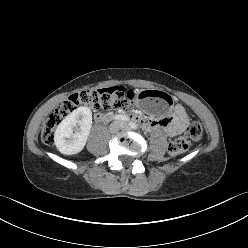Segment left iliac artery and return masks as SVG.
<instances>
[{"label": "left iliac artery", "instance_id": "1", "mask_svg": "<svg viewBox=\"0 0 248 248\" xmlns=\"http://www.w3.org/2000/svg\"><path fill=\"white\" fill-rule=\"evenodd\" d=\"M129 125H130V127L133 128V129H137V128H138L137 124L134 123V122H129Z\"/></svg>", "mask_w": 248, "mask_h": 248}]
</instances>
